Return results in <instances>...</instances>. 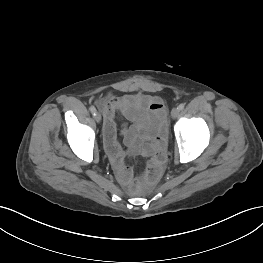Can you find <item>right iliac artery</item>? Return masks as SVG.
<instances>
[{
  "mask_svg": "<svg viewBox=\"0 0 263 263\" xmlns=\"http://www.w3.org/2000/svg\"><path fill=\"white\" fill-rule=\"evenodd\" d=\"M90 111H91V113L93 114V115H95V113H96V108L94 107V106H90Z\"/></svg>",
  "mask_w": 263,
  "mask_h": 263,
  "instance_id": "82829eb1",
  "label": "right iliac artery"
}]
</instances>
